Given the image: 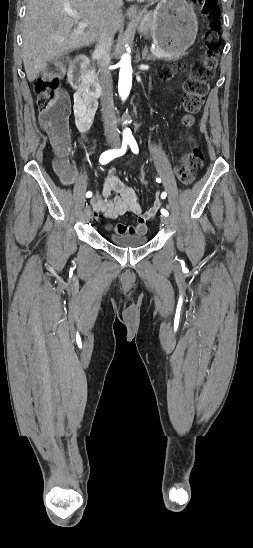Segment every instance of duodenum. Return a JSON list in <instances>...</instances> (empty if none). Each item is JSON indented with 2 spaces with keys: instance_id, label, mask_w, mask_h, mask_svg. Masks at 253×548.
<instances>
[{
  "instance_id": "410a0bca",
  "label": "duodenum",
  "mask_w": 253,
  "mask_h": 548,
  "mask_svg": "<svg viewBox=\"0 0 253 548\" xmlns=\"http://www.w3.org/2000/svg\"><path fill=\"white\" fill-rule=\"evenodd\" d=\"M90 59V55H79L72 61L69 68V81L76 92L97 99L101 95V88L91 77Z\"/></svg>"
}]
</instances>
